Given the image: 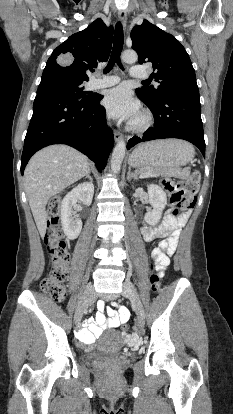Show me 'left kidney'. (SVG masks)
<instances>
[{
	"mask_svg": "<svg viewBox=\"0 0 233 414\" xmlns=\"http://www.w3.org/2000/svg\"><path fill=\"white\" fill-rule=\"evenodd\" d=\"M147 187L149 203L153 207V210L145 214L144 220L153 226L161 219L162 212L167 204V198L165 192L158 185L150 184Z\"/></svg>",
	"mask_w": 233,
	"mask_h": 414,
	"instance_id": "obj_1",
	"label": "left kidney"
}]
</instances>
